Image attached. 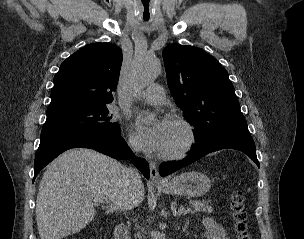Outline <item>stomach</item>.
<instances>
[{
  "label": "stomach",
  "mask_w": 304,
  "mask_h": 239,
  "mask_svg": "<svg viewBox=\"0 0 304 239\" xmlns=\"http://www.w3.org/2000/svg\"><path fill=\"white\" fill-rule=\"evenodd\" d=\"M211 187L209 177L198 171H189L174 177L169 182L158 186L166 194L199 197Z\"/></svg>",
  "instance_id": "1"
}]
</instances>
